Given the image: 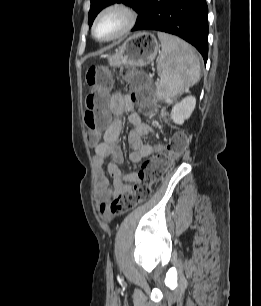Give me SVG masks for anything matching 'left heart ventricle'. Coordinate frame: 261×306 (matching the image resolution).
I'll return each mask as SVG.
<instances>
[{
	"mask_svg": "<svg viewBox=\"0 0 261 306\" xmlns=\"http://www.w3.org/2000/svg\"><path fill=\"white\" fill-rule=\"evenodd\" d=\"M125 17L119 12L107 14L98 24L96 35L98 38H107L118 33L124 26Z\"/></svg>",
	"mask_w": 261,
	"mask_h": 306,
	"instance_id": "left-heart-ventricle-1",
	"label": "left heart ventricle"
}]
</instances>
